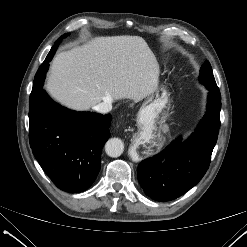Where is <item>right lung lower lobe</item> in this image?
I'll list each match as a JSON object with an SVG mask.
<instances>
[{
  "label": "right lung lower lobe",
  "mask_w": 247,
  "mask_h": 247,
  "mask_svg": "<svg viewBox=\"0 0 247 247\" xmlns=\"http://www.w3.org/2000/svg\"><path fill=\"white\" fill-rule=\"evenodd\" d=\"M29 107L30 146L44 172L63 191L88 189L100 171L111 115L71 111L43 89Z\"/></svg>",
  "instance_id": "right-lung-lower-lobe-1"
}]
</instances>
